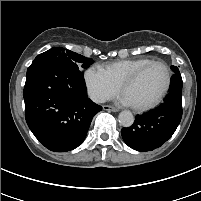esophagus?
<instances>
[{
	"mask_svg": "<svg viewBox=\"0 0 201 201\" xmlns=\"http://www.w3.org/2000/svg\"><path fill=\"white\" fill-rule=\"evenodd\" d=\"M103 109L106 111L118 112L119 109L110 105H104Z\"/></svg>",
	"mask_w": 201,
	"mask_h": 201,
	"instance_id": "34e87169",
	"label": "esophagus"
}]
</instances>
